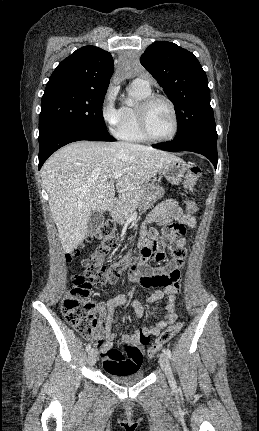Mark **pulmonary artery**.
Segmentation results:
<instances>
[{"label":"pulmonary artery","instance_id":"obj_1","mask_svg":"<svg viewBox=\"0 0 259 431\" xmlns=\"http://www.w3.org/2000/svg\"><path fill=\"white\" fill-rule=\"evenodd\" d=\"M132 86L148 89V88H150V80L147 77L136 78L132 82Z\"/></svg>","mask_w":259,"mask_h":431}]
</instances>
